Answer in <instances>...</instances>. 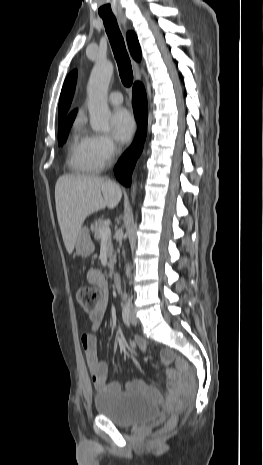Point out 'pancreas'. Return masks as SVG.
Here are the masks:
<instances>
[{
	"mask_svg": "<svg viewBox=\"0 0 263 465\" xmlns=\"http://www.w3.org/2000/svg\"><path fill=\"white\" fill-rule=\"evenodd\" d=\"M103 227H105V225L102 219H98L92 223L91 231L94 234L95 240L100 241L102 239L100 236V230ZM107 252H108V258H109L108 267H109L110 272H113L114 265L116 263V256L113 254V245H112L111 237L107 238Z\"/></svg>",
	"mask_w": 263,
	"mask_h": 465,
	"instance_id": "cf45deb5",
	"label": "pancreas"
}]
</instances>
